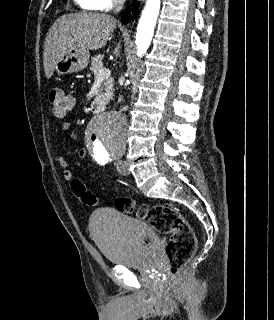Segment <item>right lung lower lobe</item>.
<instances>
[{
	"mask_svg": "<svg viewBox=\"0 0 274 320\" xmlns=\"http://www.w3.org/2000/svg\"><path fill=\"white\" fill-rule=\"evenodd\" d=\"M138 3H134L133 4V8L131 9V6H129L127 9H126V11H125V13L123 14V16H122V22L124 23V24H126L127 22H129L131 19H132V16L130 15V12H131V10H132V13L133 14H137V12H138V9H137V7H138Z\"/></svg>",
	"mask_w": 274,
	"mask_h": 320,
	"instance_id": "obj_1",
	"label": "right lung lower lobe"
}]
</instances>
